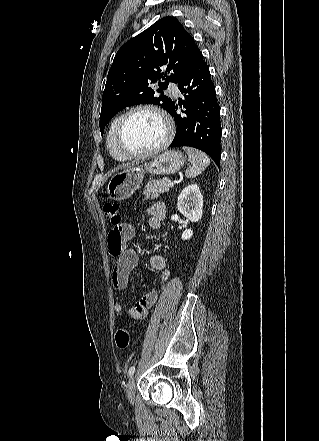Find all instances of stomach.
Wrapping results in <instances>:
<instances>
[{"label": "stomach", "instance_id": "1", "mask_svg": "<svg viewBox=\"0 0 319 441\" xmlns=\"http://www.w3.org/2000/svg\"><path fill=\"white\" fill-rule=\"evenodd\" d=\"M185 158L178 150H167L144 165L135 164L115 173L108 182L107 194L112 200H124L140 188L145 172L174 174L183 167Z\"/></svg>", "mask_w": 319, "mask_h": 441}]
</instances>
